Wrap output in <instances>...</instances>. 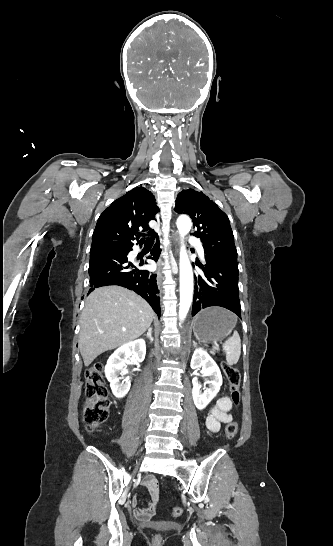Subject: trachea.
<instances>
[{
    "label": "trachea",
    "instance_id": "obj_1",
    "mask_svg": "<svg viewBox=\"0 0 333 546\" xmlns=\"http://www.w3.org/2000/svg\"><path fill=\"white\" fill-rule=\"evenodd\" d=\"M153 242H154L153 240L148 239V240L146 241V244L151 245V244H153Z\"/></svg>",
    "mask_w": 333,
    "mask_h": 546
}]
</instances>
